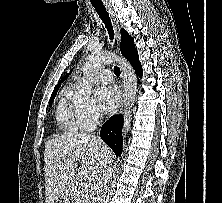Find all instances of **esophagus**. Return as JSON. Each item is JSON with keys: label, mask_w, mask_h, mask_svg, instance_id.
<instances>
[{"label": "esophagus", "mask_w": 222, "mask_h": 203, "mask_svg": "<svg viewBox=\"0 0 222 203\" xmlns=\"http://www.w3.org/2000/svg\"><path fill=\"white\" fill-rule=\"evenodd\" d=\"M106 9L113 21L114 28H115L116 35H117V39H118V44H119V42H120L119 22L117 20L115 13L112 11V9L108 5H106ZM120 88H121V100H120V104H119L118 111H117L118 114L121 113L124 109V85H123V71L122 70H121Z\"/></svg>", "instance_id": "esophagus-1"}]
</instances>
